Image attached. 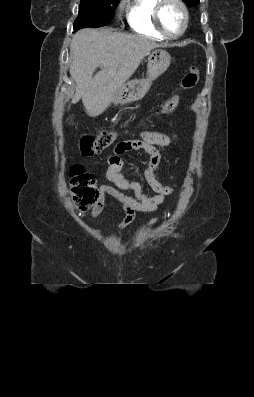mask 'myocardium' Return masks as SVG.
I'll return each mask as SVG.
<instances>
[{"mask_svg":"<svg viewBox=\"0 0 254 397\" xmlns=\"http://www.w3.org/2000/svg\"><path fill=\"white\" fill-rule=\"evenodd\" d=\"M175 3L177 4L182 11L183 14V25L181 30L177 33V34H169L163 27L162 22H161V12L163 7L165 6V4L167 3ZM153 21H154V25L155 28L157 29V31L164 36L166 39H178L181 36L184 35V33L186 32L188 25H189V12L187 9V6L185 5V3L182 0H158L157 4L154 7L153 10Z\"/></svg>","mask_w":254,"mask_h":397,"instance_id":"myocardium-1","label":"myocardium"}]
</instances>
